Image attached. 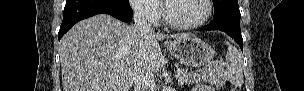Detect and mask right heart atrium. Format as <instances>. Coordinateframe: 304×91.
Instances as JSON below:
<instances>
[{
    "mask_svg": "<svg viewBox=\"0 0 304 91\" xmlns=\"http://www.w3.org/2000/svg\"><path fill=\"white\" fill-rule=\"evenodd\" d=\"M132 7L143 20L149 22H158L160 20V8L153 0H133Z\"/></svg>",
    "mask_w": 304,
    "mask_h": 91,
    "instance_id": "1",
    "label": "right heart atrium"
}]
</instances>
